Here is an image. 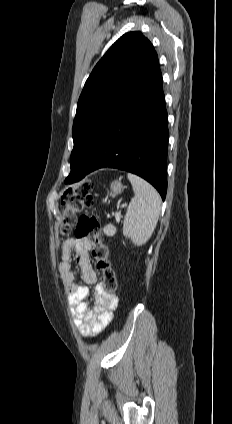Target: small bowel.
Instances as JSON below:
<instances>
[{
    "mask_svg": "<svg viewBox=\"0 0 232 424\" xmlns=\"http://www.w3.org/2000/svg\"><path fill=\"white\" fill-rule=\"evenodd\" d=\"M86 239H67L62 245V257L58 273L67 296L70 312L75 317L74 325L83 337H93L111 322L117 306L114 296L108 295L102 284H98L97 273L90 264ZM72 261L80 268L78 276L72 270ZM80 278L85 284L78 281ZM88 284H97L94 298L90 303Z\"/></svg>",
    "mask_w": 232,
    "mask_h": 424,
    "instance_id": "obj_1",
    "label": "small bowel"
}]
</instances>
